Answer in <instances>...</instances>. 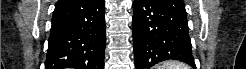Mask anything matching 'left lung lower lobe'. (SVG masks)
Instances as JSON below:
<instances>
[{
	"instance_id": "obj_1",
	"label": "left lung lower lobe",
	"mask_w": 246,
	"mask_h": 69,
	"mask_svg": "<svg viewBox=\"0 0 246 69\" xmlns=\"http://www.w3.org/2000/svg\"><path fill=\"white\" fill-rule=\"evenodd\" d=\"M133 50L136 69L176 59L196 67L187 17L161 0H134Z\"/></svg>"
}]
</instances>
